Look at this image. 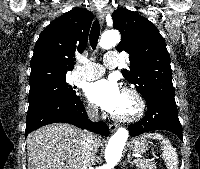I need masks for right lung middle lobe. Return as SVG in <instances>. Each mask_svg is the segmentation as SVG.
<instances>
[{"mask_svg": "<svg viewBox=\"0 0 200 169\" xmlns=\"http://www.w3.org/2000/svg\"><path fill=\"white\" fill-rule=\"evenodd\" d=\"M66 79H50L41 81L30 86L28 100L34 101L49 100L51 98L71 99L76 95L72 86L65 82Z\"/></svg>", "mask_w": 200, "mask_h": 169, "instance_id": "dd1d6c3e", "label": "right lung middle lobe"}]
</instances>
